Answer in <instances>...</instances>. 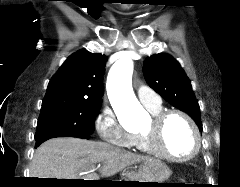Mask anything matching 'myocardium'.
I'll return each instance as SVG.
<instances>
[{
    "label": "myocardium",
    "instance_id": "myocardium-1",
    "mask_svg": "<svg viewBox=\"0 0 240 187\" xmlns=\"http://www.w3.org/2000/svg\"><path fill=\"white\" fill-rule=\"evenodd\" d=\"M171 115H178L182 117L187 124L189 125L192 134L194 136V147L192 151L186 156H175L172 155L165 150L162 149L160 146V134L161 128L167 118ZM141 136L144 138L146 146L150 152V154H154L160 158L167 159L174 162H187L195 158L201 148V135L199 129L194 122V120L184 111L178 109H170L165 111H160L157 114H153L152 116V126L151 129L147 131H142Z\"/></svg>",
    "mask_w": 240,
    "mask_h": 187
}]
</instances>
